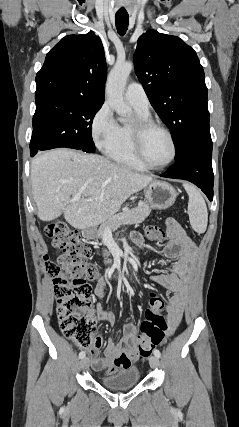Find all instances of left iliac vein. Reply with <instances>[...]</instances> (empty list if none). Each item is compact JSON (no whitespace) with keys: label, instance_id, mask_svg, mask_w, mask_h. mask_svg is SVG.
I'll list each match as a JSON object with an SVG mask.
<instances>
[{"label":"left iliac vein","instance_id":"left-iliac-vein-1","mask_svg":"<svg viewBox=\"0 0 239 427\" xmlns=\"http://www.w3.org/2000/svg\"><path fill=\"white\" fill-rule=\"evenodd\" d=\"M149 364H150V366L153 369L157 368L159 366V359H158V357H156V356L150 357Z\"/></svg>","mask_w":239,"mask_h":427}]
</instances>
